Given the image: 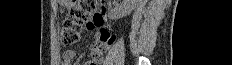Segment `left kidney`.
I'll use <instances>...</instances> for the list:
<instances>
[{"label":"left kidney","mask_w":232,"mask_h":65,"mask_svg":"<svg viewBox=\"0 0 232 65\" xmlns=\"http://www.w3.org/2000/svg\"><path fill=\"white\" fill-rule=\"evenodd\" d=\"M138 0H116L110 13L111 19H119L129 15L136 7Z\"/></svg>","instance_id":"1"}]
</instances>
